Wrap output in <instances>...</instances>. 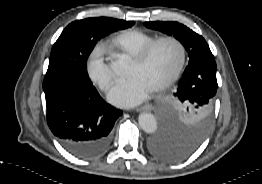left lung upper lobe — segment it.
<instances>
[{
	"mask_svg": "<svg viewBox=\"0 0 262 184\" xmlns=\"http://www.w3.org/2000/svg\"><path fill=\"white\" fill-rule=\"evenodd\" d=\"M148 28L173 35L185 47L189 64L177 89L160 107L163 129L177 139L200 143L212 121V107L218 88L216 64L204 61L214 58L205 39L178 22H145Z\"/></svg>",
	"mask_w": 262,
	"mask_h": 184,
	"instance_id": "5c2ea615",
	"label": "left lung upper lobe"
}]
</instances>
